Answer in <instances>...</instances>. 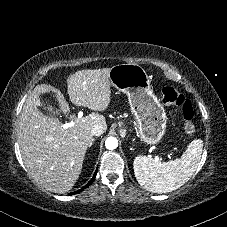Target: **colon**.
Masks as SVG:
<instances>
[{
    "label": "colon",
    "mask_w": 227,
    "mask_h": 227,
    "mask_svg": "<svg viewBox=\"0 0 227 227\" xmlns=\"http://www.w3.org/2000/svg\"><path fill=\"white\" fill-rule=\"evenodd\" d=\"M162 99L166 105L176 106L181 109L184 130L188 134L193 133L195 126L193 124L194 111L191 102L173 87H165L163 89Z\"/></svg>",
    "instance_id": "obj_1"
}]
</instances>
